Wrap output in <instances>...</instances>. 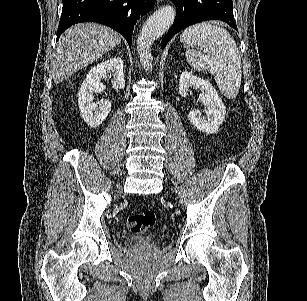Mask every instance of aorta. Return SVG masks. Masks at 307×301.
I'll use <instances>...</instances> for the list:
<instances>
[{
	"label": "aorta",
	"instance_id": "aorta-1",
	"mask_svg": "<svg viewBox=\"0 0 307 301\" xmlns=\"http://www.w3.org/2000/svg\"><path fill=\"white\" fill-rule=\"evenodd\" d=\"M176 10L171 4H165L158 10H155L145 24H143L137 38V50L144 70H152V54L151 44L162 36L166 30H169L171 24L174 22Z\"/></svg>",
	"mask_w": 307,
	"mask_h": 301
}]
</instances>
